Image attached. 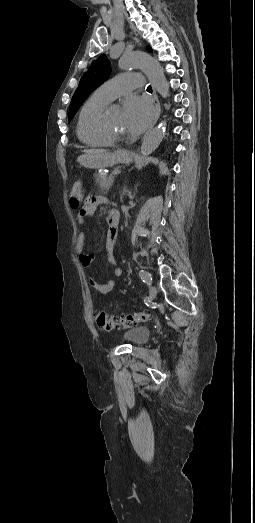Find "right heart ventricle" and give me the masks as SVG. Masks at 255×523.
Returning a JSON list of instances; mask_svg holds the SVG:
<instances>
[{
  "mask_svg": "<svg viewBox=\"0 0 255 523\" xmlns=\"http://www.w3.org/2000/svg\"><path fill=\"white\" fill-rule=\"evenodd\" d=\"M111 101L110 98L101 93L99 88L84 101L77 120V135L80 141L90 146H105L111 143L106 137L95 133L91 127L93 117L108 106Z\"/></svg>",
  "mask_w": 255,
  "mask_h": 523,
  "instance_id": "obj_1",
  "label": "right heart ventricle"
}]
</instances>
